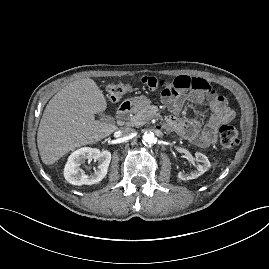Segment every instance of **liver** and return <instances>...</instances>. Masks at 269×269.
I'll return each instance as SVG.
<instances>
[{
	"label": "liver",
	"instance_id": "liver-1",
	"mask_svg": "<svg viewBox=\"0 0 269 269\" xmlns=\"http://www.w3.org/2000/svg\"><path fill=\"white\" fill-rule=\"evenodd\" d=\"M102 90L90 78L67 84L47 104L37 133L41 160L52 165L74 149L96 143L111 135L116 125L95 120L105 111Z\"/></svg>",
	"mask_w": 269,
	"mask_h": 269
}]
</instances>
